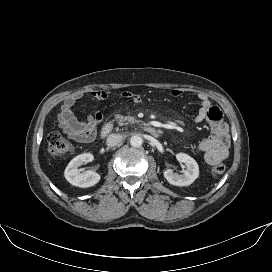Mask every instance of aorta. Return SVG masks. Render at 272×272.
Instances as JSON below:
<instances>
[{"label": "aorta", "mask_w": 272, "mask_h": 272, "mask_svg": "<svg viewBox=\"0 0 272 272\" xmlns=\"http://www.w3.org/2000/svg\"><path fill=\"white\" fill-rule=\"evenodd\" d=\"M142 138L138 135H134L130 138V144L133 147H140L142 145Z\"/></svg>", "instance_id": "aorta-1"}]
</instances>
